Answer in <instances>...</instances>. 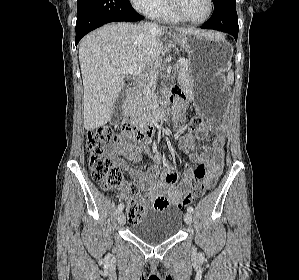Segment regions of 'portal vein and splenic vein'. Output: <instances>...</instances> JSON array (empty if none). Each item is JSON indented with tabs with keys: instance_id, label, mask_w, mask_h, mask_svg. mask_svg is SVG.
Masks as SVG:
<instances>
[{
	"instance_id": "portal-vein-and-splenic-vein-1",
	"label": "portal vein and splenic vein",
	"mask_w": 299,
	"mask_h": 280,
	"mask_svg": "<svg viewBox=\"0 0 299 280\" xmlns=\"http://www.w3.org/2000/svg\"><path fill=\"white\" fill-rule=\"evenodd\" d=\"M186 62L184 59H182L180 61V65H184ZM142 71V68L139 67L137 64L125 67L124 69H108V72L110 74H114V75H125V74H130V75H135V76H139L140 73ZM155 85V82H154Z\"/></svg>"
}]
</instances>
